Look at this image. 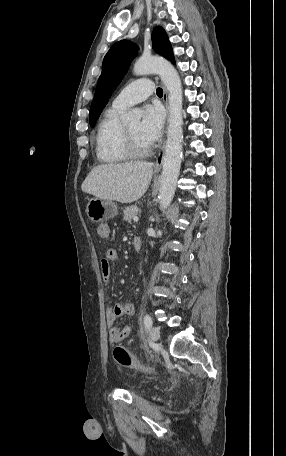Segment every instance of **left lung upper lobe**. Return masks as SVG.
Masks as SVG:
<instances>
[{"label":"left lung upper lobe","instance_id":"left-lung-upper-lobe-1","mask_svg":"<svg viewBox=\"0 0 286 456\" xmlns=\"http://www.w3.org/2000/svg\"><path fill=\"white\" fill-rule=\"evenodd\" d=\"M152 47L158 54L175 63L172 46L165 30L157 26L152 32ZM138 46L131 41L115 43L103 59L102 73L98 79L89 113L90 126L94 127L116 86L121 82L131 61L137 55Z\"/></svg>","mask_w":286,"mask_h":456}]
</instances>
